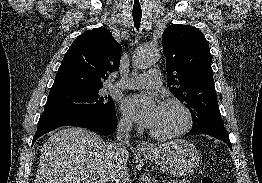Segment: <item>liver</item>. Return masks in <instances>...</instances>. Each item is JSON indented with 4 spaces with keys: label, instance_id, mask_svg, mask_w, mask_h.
Wrapping results in <instances>:
<instances>
[{
    "label": "liver",
    "instance_id": "liver-1",
    "mask_svg": "<svg viewBox=\"0 0 262 183\" xmlns=\"http://www.w3.org/2000/svg\"><path fill=\"white\" fill-rule=\"evenodd\" d=\"M107 145L98 134L86 129L59 130L41 149L34 183H107L115 180L120 160H114Z\"/></svg>",
    "mask_w": 262,
    "mask_h": 183
}]
</instances>
